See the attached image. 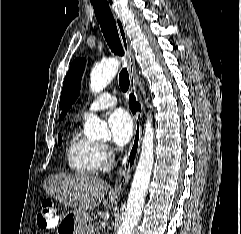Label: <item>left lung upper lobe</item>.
I'll list each match as a JSON object with an SVG mask.
<instances>
[{
	"instance_id": "left-lung-upper-lobe-1",
	"label": "left lung upper lobe",
	"mask_w": 241,
	"mask_h": 234,
	"mask_svg": "<svg viewBox=\"0 0 241 234\" xmlns=\"http://www.w3.org/2000/svg\"><path fill=\"white\" fill-rule=\"evenodd\" d=\"M85 62V59L74 60L64 79L59 104L62 110V114L60 115L61 119L64 118L65 114L80 94L81 78L84 72Z\"/></svg>"
}]
</instances>
